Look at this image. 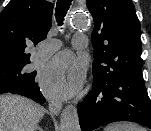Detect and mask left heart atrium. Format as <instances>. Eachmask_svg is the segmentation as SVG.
<instances>
[{
    "mask_svg": "<svg viewBox=\"0 0 151 131\" xmlns=\"http://www.w3.org/2000/svg\"><path fill=\"white\" fill-rule=\"evenodd\" d=\"M86 75L84 63L70 53H61L43 69L40 81L51 98L65 99L77 93Z\"/></svg>",
    "mask_w": 151,
    "mask_h": 131,
    "instance_id": "left-heart-atrium-1",
    "label": "left heart atrium"
}]
</instances>
